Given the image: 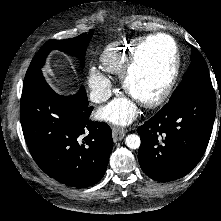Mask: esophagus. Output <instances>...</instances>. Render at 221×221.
<instances>
[{
	"mask_svg": "<svg viewBox=\"0 0 221 221\" xmlns=\"http://www.w3.org/2000/svg\"><path fill=\"white\" fill-rule=\"evenodd\" d=\"M112 136H113V141L114 142H118L120 140H122L125 136V131L122 130L121 128L119 127H113L112 128Z\"/></svg>",
	"mask_w": 221,
	"mask_h": 221,
	"instance_id": "34e87169",
	"label": "esophagus"
}]
</instances>
